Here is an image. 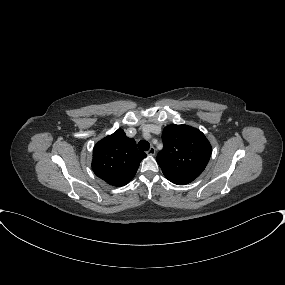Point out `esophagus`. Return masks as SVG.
Returning <instances> with one entry per match:
<instances>
[{
	"mask_svg": "<svg viewBox=\"0 0 285 285\" xmlns=\"http://www.w3.org/2000/svg\"><path fill=\"white\" fill-rule=\"evenodd\" d=\"M155 152H156V150H155V148L154 147H150V149L148 150V155H151V156H153V155H155Z\"/></svg>",
	"mask_w": 285,
	"mask_h": 285,
	"instance_id": "34e87169",
	"label": "esophagus"
}]
</instances>
